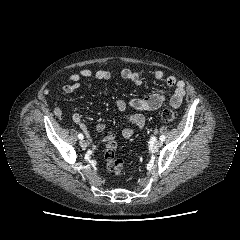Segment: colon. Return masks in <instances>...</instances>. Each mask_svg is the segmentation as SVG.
I'll return each mask as SVG.
<instances>
[{
    "instance_id": "1",
    "label": "colon",
    "mask_w": 240,
    "mask_h": 240,
    "mask_svg": "<svg viewBox=\"0 0 240 240\" xmlns=\"http://www.w3.org/2000/svg\"><path fill=\"white\" fill-rule=\"evenodd\" d=\"M177 113L172 108H165L161 113V119L165 123H171L176 119ZM117 142L114 137H107L104 145V157L109 172L121 176L124 174V161L116 156Z\"/></svg>"
}]
</instances>
